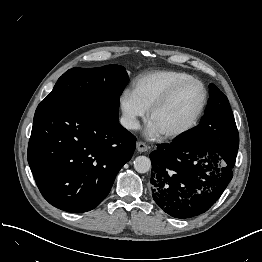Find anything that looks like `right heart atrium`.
<instances>
[{"label": "right heart atrium", "instance_id": "right-heart-atrium-1", "mask_svg": "<svg viewBox=\"0 0 262 262\" xmlns=\"http://www.w3.org/2000/svg\"><path fill=\"white\" fill-rule=\"evenodd\" d=\"M120 110L123 116V124L129 130H135L139 126V120L146 114V110L140 105L133 91L125 90L120 97Z\"/></svg>", "mask_w": 262, "mask_h": 262}]
</instances>
